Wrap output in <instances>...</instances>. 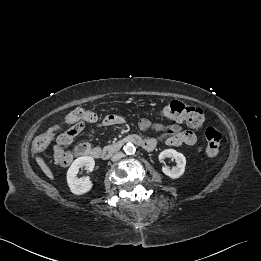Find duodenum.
I'll list each match as a JSON object with an SVG mask.
<instances>
[{
    "mask_svg": "<svg viewBox=\"0 0 261 261\" xmlns=\"http://www.w3.org/2000/svg\"><path fill=\"white\" fill-rule=\"evenodd\" d=\"M128 143L137 144L147 151L153 150V148L155 147V142L153 140L145 139L138 135H131L121 139L116 143L106 146L98 152V157H101L102 159H107L114 153L120 151Z\"/></svg>",
    "mask_w": 261,
    "mask_h": 261,
    "instance_id": "410a0bca",
    "label": "duodenum"
}]
</instances>
